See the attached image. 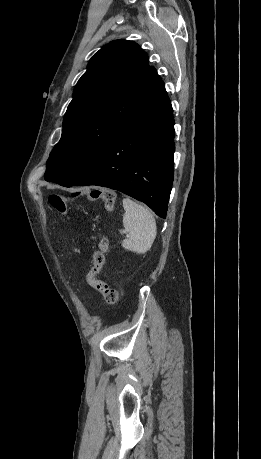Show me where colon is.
I'll return each mask as SVG.
<instances>
[{
	"label": "colon",
	"mask_w": 261,
	"mask_h": 459,
	"mask_svg": "<svg viewBox=\"0 0 261 459\" xmlns=\"http://www.w3.org/2000/svg\"><path fill=\"white\" fill-rule=\"evenodd\" d=\"M77 197H88L91 200H102L105 207L111 210L115 203V194L110 191H103L99 188H72V197L60 194H51L48 198L50 206L60 215L68 213V204ZM108 240L102 237L98 248L92 258V267L87 274V283L90 287L100 292L108 304H117L119 300L118 292L108 284L99 279L101 270L105 264L106 253L108 250Z\"/></svg>",
	"instance_id": "colon-1"
}]
</instances>
